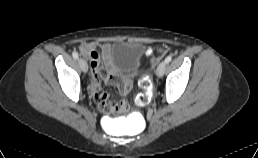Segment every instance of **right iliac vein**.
I'll return each mask as SVG.
<instances>
[{
    "label": "right iliac vein",
    "instance_id": "1",
    "mask_svg": "<svg viewBox=\"0 0 258 158\" xmlns=\"http://www.w3.org/2000/svg\"><path fill=\"white\" fill-rule=\"evenodd\" d=\"M79 66L81 70L86 73L88 71V64L83 58H79L78 60Z\"/></svg>",
    "mask_w": 258,
    "mask_h": 158
}]
</instances>
